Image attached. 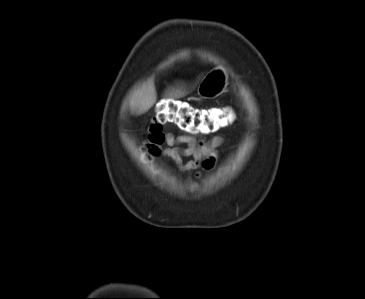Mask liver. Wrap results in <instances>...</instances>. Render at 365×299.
I'll return each instance as SVG.
<instances>
[{
	"label": "liver",
	"instance_id": "6515ba94",
	"mask_svg": "<svg viewBox=\"0 0 365 299\" xmlns=\"http://www.w3.org/2000/svg\"><path fill=\"white\" fill-rule=\"evenodd\" d=\"M185 94V91L183 92L179 90L171 93L170 95L173 97H181ZM133 98L134 106L138 109L139 114L148 111L156 102V92L154 86L149 84L145 89L136 91Z\"/></svg>",
	"mask_w": 365,
	"mask_h": 299
}]
</instances>
